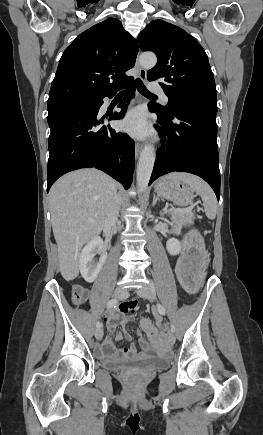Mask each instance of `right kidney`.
I'll return each mask as SVG.
<instances>
[{
  "label": "right kidney",
  "instance_id": "obj_1",
  "mask_svg": "<svg viewBox=\"0 0 263 435\" xmlns=\"http://www.w3.org/2000/svg\"><path fill=\"white\" fill-rule=\"evenodd\" d=\"M99 259H95L96 255ZM107 258V251L103 241L96 236L91 239L83 248L79 258V269L85 281L91 283L95 281Z\"/></svg>",
  "mask_w": 263,
  "mask_h": 435
}]
</instances>
